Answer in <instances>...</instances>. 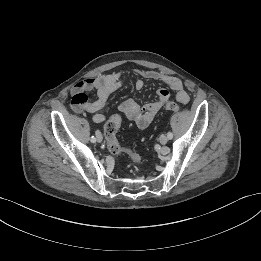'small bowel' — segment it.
<instances>
[{"label": "small bowel", "instance_id": "1", "mask_svg": "<svg viewBox=\"0 0 261 261\" xmlns=\"http://www.w3.org/2000/svg\"><path fill=\"white\" fill-rule=\"evenodd\" d=\"M137 74L149 80H156L163 83L168 89L175 93V98L180 103H187L190 96L183 87V83L179 78L166 75L157 70H136ZM124 84L121 72H113L107 75L101 74L96 77L84 79L76 83L72 89L71 104L74 111L88 112L93 114L95 123H102L106 117L101 113L105 107L111 93L119 89ZM136 90H141L144 87V81L137 79L134 83ZM166 88H161L157 91V98L154 101L148 102L140 106L135 100L127 99L119 105V111L124 114L129 120L136 123L140 129L146 128L162 105L170 98V92ZM95 91L96 98L90 100L88 93Z\"/></svg>", "mask_w": 261, "mask_h": 261}]
</instances>
